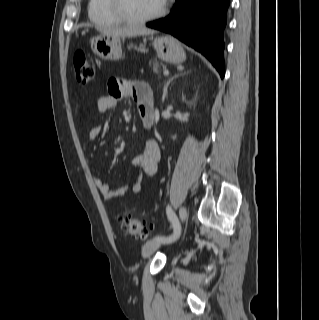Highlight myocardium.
Listing matches in <instances>:
<instances>
[{"instance_id":"myocardium-1","label":"myocardium","mask_w":319,"mask_h":320,"mask_svg":"<svg viewBox=\"0 0 319 320\" xmlns=\"http://www.w3.org/2000/svg\"><path fill=\"white\" fill-rule=\"evenodd\" d=\"M108 7L112 14L120 19L123 23L128 24H144L161 18L166 13V4L162 3V6L155 13L145 16L136 17L131 15L126 8L125 0H108Z\"/></svg>"}]
</instances>
